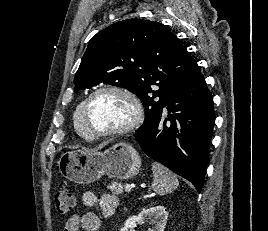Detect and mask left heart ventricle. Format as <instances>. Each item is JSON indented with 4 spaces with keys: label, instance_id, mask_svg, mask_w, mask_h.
<instances>
[{
    "label": "left heart ventricle",
    "instance_id": "obj_1",
    "mask_svg": "<svg viewBox=\"0 0 268 231\" xmlns=\"http://www.w3.org/2000/svg\"><path fill=\"white\" fill-rule=\"evenodd\" d=\"M132 116L130 103L118 94L103 92L93 98L88 109L92 130L104 131L126 124Z\"/></svg>",
    "mask_w": 268,
    "mask_h": 231
}]
</instances>
